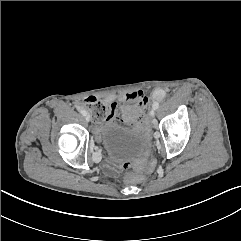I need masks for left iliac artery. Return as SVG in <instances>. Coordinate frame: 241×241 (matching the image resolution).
Here are the masks:
<instances>
[{
    "instance_id": "left-iliac-artery-1",
    "label": "left iliac artery",
    "mask_w": 241,
    "mask_h": 241,
    "mask_svg": "<svg viewBox=\"0 0 241 241\" xmlns=\"http://www.w3.org/2000/svg\"><path fill=\"white\" fill-rule=\"evenodd\" d=\"M158 107H159V103L157 101H155L153 103V108L156 110V109H158Z\"/></svg>"
}]
</instances>
